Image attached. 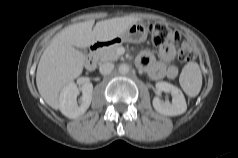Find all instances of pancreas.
Instances as JSON below:
<instances>
[{"label":"pancreas","mask_w":238,"mask_h":158,"mask_svg":"<svg viewBox=\"0 0 238 158\" xmlns=\"http://www.w3.org/2000/svg\"><path fill=\"white\" fill-rule=\"evenodd\" d=\"M119 47L120 44H115L102 48L97 51L96 56L101 62L116 61L120 58V55L117 53Z\"/></svg>","instance_id":"cf45deb5"}]
</instances>
